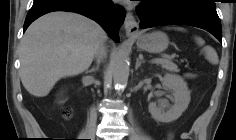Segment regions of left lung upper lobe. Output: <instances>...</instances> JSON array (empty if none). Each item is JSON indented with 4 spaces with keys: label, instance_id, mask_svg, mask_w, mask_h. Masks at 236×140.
Wrapping results in <instances>:
<instances>
[{
    "label": "left lung upper lobe",
    "instance_id": "obj_1",
    "mask_svg": "<svg viewBox=\"0 0 236 140\" xmlns=\"http://www.w3.org/2000/svg\"><path fill=\"white\" fill-rule=\"evenodd\" d=\"M192 1L215 5V0H192Z\"/></svg>",
    "mask_w": 236,
    "mask_h": 140
}]
</instances>
